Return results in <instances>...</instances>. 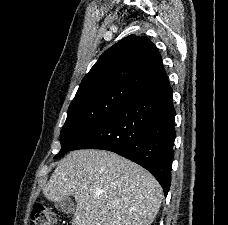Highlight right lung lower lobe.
<instances>
[{"label": "right lung lower lobe", "mask_w": 228, "mask_h": 225, "mask_svg": "<svg viewBox=\"0 0 228 225\" xmlns=\"http://www.w3.org/2000/svg\"><path fill=\"white\" fill-rule=\"evenodd\" d=\"M174 118L172 89L163 70L83 136L71 150L115 152L147 169L167 196L176 136Z\"/></svg>", "instance_id": "obj_1"}]
</instances>
